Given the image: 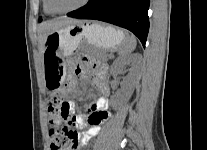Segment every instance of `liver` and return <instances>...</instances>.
Returning a JSON list of instances; mask_svg holds the SVG:
<instances>
[{
    "instance_id": "6515ba94",
    "label": "liver",
    "mask_w": 207,
    "mask_h": 150,
    "mask_svg": "<svg viewBox=\"0 0 207 150\" xmlns=\"http://www.w3.org/2000/svg\"><path fill=\"white\" fill-rule=\"evenodd\" d=\"M83 21L67 17H60L54 20L42 22L39 26V49L42 52L48 34L54 30L60 29L64 26L81 23Z\"/></svg>"
}]
</instances>
